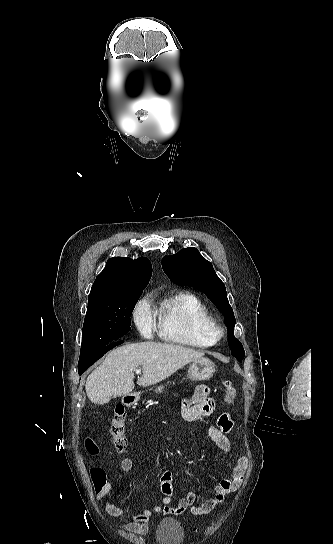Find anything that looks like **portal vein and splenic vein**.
<instances>
[{"mask_svg":"<svg viewBox=\"0 0 333 544\" xmlns=\"http://www.w3.org/2000/svg\"><path fill=\"white\" fill-rule=\"evenodd\" d=\"M135 372H136L137 374H140V373H141V369H136Z\"/></svg>","mask_w":333,"mask_h":544,"instance_id":"portal-vein-and-splenic-vein-1","label":"portal vein and splenic vein"}]
</instances>
